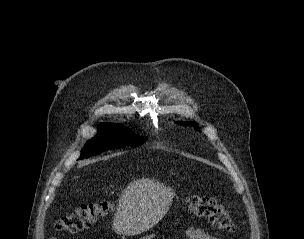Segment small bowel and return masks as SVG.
Listing matches in <instances>:
<instances>
[{
  "instance_id": "c3829d8e",
  "label": "small bowel",
  "mask_w": 304,
  "mask_h": 239,
  "mask_svg": "<svg viewBox=\"0 0 304 239\" xmlns=\"http://www.w3.org/2000/svg\"><path fill=\"white\" fill-rule=\"evenodd\" d=\"M57 239V238H52ZM185 239H218L200 227L192 226L186 229Z\"/></svg>"
}]
</instances>
